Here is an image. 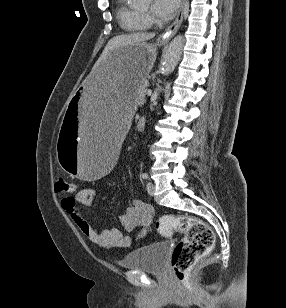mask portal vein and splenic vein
I'll return each mask as SVG.
<instances>
[{
	"mask_svg": "<svg viewBox=\"0 0 286 308\" xmlns=\"http://www.w3.org/2000/svg\"><path fill=\"white\" fill-rule=\"evenodd\" d=\"M145 93H146L147 95H151V94H152V91H151V90H145Z\"/></svg>",
	"mask_w": 286,
	"mask_h": 308,
	"instance_id": "1",
	"label": "portal vein and splenic vein"
}]
</instances>
